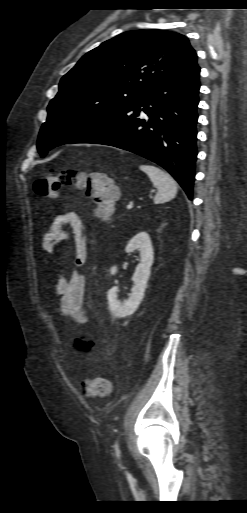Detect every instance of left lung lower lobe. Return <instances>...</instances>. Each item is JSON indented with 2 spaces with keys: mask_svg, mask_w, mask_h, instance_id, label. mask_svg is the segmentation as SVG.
<instances>
[{
  "mask_svg": "<svg viewBox=\"0 0 247 513\" xmlns=\"http://www.w3.org/2000/svg\"><path fill=\"white\" fill-rule=\"evenodd\" d=\"M199 73L195 56L177 75L69 143L109 145L147 158L165 168L192 200Z\"/></svg>",
  "mask_w": 247,
  "mask_h": 513,
  "instance_id": "left-lung-lower-lobe-1",
  "label": "left lung lower lobe"
}]
</instances>
